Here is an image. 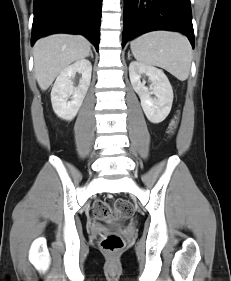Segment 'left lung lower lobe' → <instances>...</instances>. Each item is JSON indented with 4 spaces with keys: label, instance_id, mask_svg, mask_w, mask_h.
Listing matches in <instances>:
<instances>
[{
    "label": "left lung lower lobe",
    "instance_id": "0a47b994",
    "mask_svg": "<svg viewBox=\"0 0 231 281\" xmlns=\"http://www.w3.org/2000/svg\"><path fill=\"white\" fill-rule=\"evenodd\" d=\"M154 30L182 32L194 48L190 0H124L122 46Z\"/></svg>",
    "mask_w": 231,
    "mask_h": 281
}]
</instances>
